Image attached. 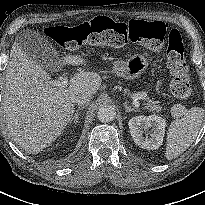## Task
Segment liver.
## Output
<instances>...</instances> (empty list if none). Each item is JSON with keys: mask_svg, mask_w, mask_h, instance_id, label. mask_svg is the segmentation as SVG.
Masks as SVG:
<instances>
[{"mask_svg": "<svg viewBox=\"0 0 205 205\" xmlns=\"http://www.w3.org/2000/svg\"><path fill=\"white\" fill-rule=\"evenodd\" d=\"M79 55L65 56L60 66L82 65ZM45 69L33 62L16 41L10 52L3 94V114L12 139L28 153L36 154L61 134L74 113L75 97L95 94L101 76L75 73L66 87H54Z\"/></svg>", "mask_w": 205, "mask_h": 205, "instance_id": "6515ba94", "label": "liver"}]
</instances>
